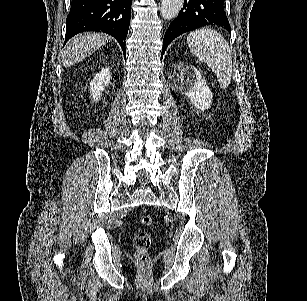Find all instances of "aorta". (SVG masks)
<instances>
[{
    "label": "aorta",
    "mask_w": 307,
    "mask_h": 301,
    "mask_svg": "<svg viewBox=\"0 0 307 301\" xmlns=\"http://www.w3.org/2000/svg\"><path fill=\"white\" fill-rule=\"evenodd\" d=\"M184 0H161V16L166 20H172L179 14Z\"/></svg>",
    "instance_id": "aorta-1"
}]
</instances>
